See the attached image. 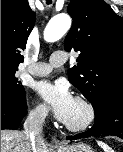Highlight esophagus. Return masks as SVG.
<instances>
[{"label":"esophagus","mask_w":123,"mask_h":152,"mask_svg":"<svg viewBox=\"0 0 123 152\" xmlns=\"http://www.w3.org/2000/svg\"><path fill=\"white\" fill-rule=\"evenodd\" d=\"M52 145L55 146V147H60L62 146V142L56 138L55 136L52 138Z\"/></svg>","instance_id":"34e87169"}]
</instances>
